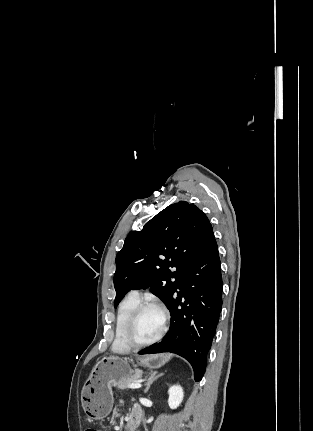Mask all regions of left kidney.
I'll use <instances>...</instances> for the list:
<instances>
[{"label":"left kidney","instance_id":"1","mask_svg":"<svg viewBox=\"0 0 313 431\" xmlns=\"http://www.w3.org/2000/svg\"><path fill=\"white\" fill-rule=\"evenodd\" d=\"M169 398L168 405L171 409H176L179 407L183 401L184 392L180 385H173L168 390Z\"/></svg>","mask_w":313,"mask_h":431}]
</instances>
